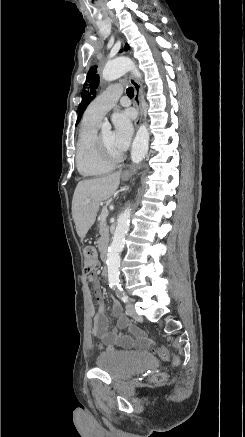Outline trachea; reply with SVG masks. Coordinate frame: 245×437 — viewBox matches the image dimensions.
Masks as SVG:
<instances>
[{
  "label": "trachea",
  "mask_w": 245,
  "mask_h": 437,
  "mask_svg": "<svg viewBox=\"0 0 245 437\" xmlns=\"http://www.w3.org/2000/svg\"><path fill=\"white\" fill-rule=\"evenodd\" d=\"M126 93H127V95H128L129 97H133V96H134V89H133V87H129V88L126 90Z\"/></svg>",
  "instance_id": "trachea-1"
}]
</instances>
